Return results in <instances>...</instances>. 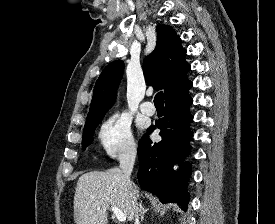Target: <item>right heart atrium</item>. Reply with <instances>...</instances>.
I'll use <instances>...</instances> for the list:
<instances>
[{"mask_svg":"<svg viewBox=\"0 0 275 224\" xmlns=\"http://www.w3.org/2000/svg\"><path fill=\"white\" fill-rule=\"evenodd\" d=\"M98 141L103 152L110 158H129L137 151L130 122L121 114H113L102 123Z\"/></svg>","mask_w":275,"mask_h":224,"instance_id":"right-heart-atrium-1","label":"right heart atrium"}]
</instances>
